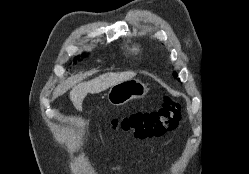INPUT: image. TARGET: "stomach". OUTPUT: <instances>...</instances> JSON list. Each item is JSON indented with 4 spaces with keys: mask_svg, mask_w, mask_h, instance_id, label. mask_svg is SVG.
<instances>
[{
    "mask_svg": "<svg viewBox=\"0 0 249 174\" xmlns=\"http://www.w3.org/2000/svg\"><path fill=\"white\" fill-rule=\"evenodd\" d=\"M148 90L147 86L140 80L130 79L113 85L107 98L112 105L121 106L132 99L144 97Z\"/></svg>",
    "mask_w": 249,
    "mask_h": 174,
    "instance_id": "1",
    "label": "stomach"
}]
</instances>
